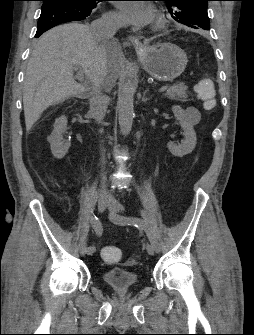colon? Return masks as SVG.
I'll list each match as a JSON object with an SVG mask.
<instances>
[{
    "mask_svg": "<svg viewBox=\"0 0 254 335\" xmlns=\"http://www.w3.org/2000/svg\"><path fill=\"white\" fill-rule=\"evenodd\" d=\"M194 89L204 108L206 110L214 109L216 101L213 81L210 78H200L195 83ZM101 256L107 263H116L121 259V251L117 247L106 246L102 249Z\"/></svg>",
    "mask_w": 254,
    "mask_h": 335,
    "instance_id": "1",
    "label": "colon"
}]
</instances>
